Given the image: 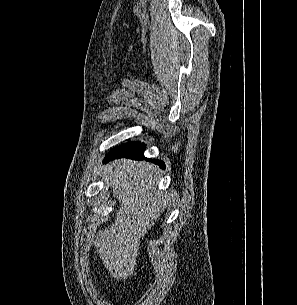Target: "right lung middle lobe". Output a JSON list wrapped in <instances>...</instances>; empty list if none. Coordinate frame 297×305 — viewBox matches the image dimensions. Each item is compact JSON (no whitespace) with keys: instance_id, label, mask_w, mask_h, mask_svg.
<instances>
[{"instance_id":"obj_1","label":"right lung middle lobe","mask_w":297,"mask_h":305,"mask_svg":"<svg viewBox=\"0 0 297 305\" xmlns=\"http://www.w3.org/2000/svg\"><path fill=\"white\" fill-rule=\"evenodd\" d=\"M135 143H137V142H134V143H128V144H125V145H122V146H119V147H128V146H131V145H133V144H135Z\"/></svg>"}]
</instances>
